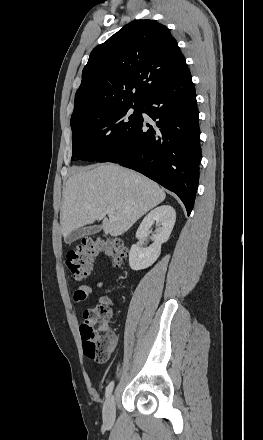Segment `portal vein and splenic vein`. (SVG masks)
<instances>
[{"label":"portal vein and splenic vein","instance_id":"18ae733b","mask_svg":"<svg viewBox=\"0 0 263 440\" xmlns=\"http://www.w3.org/2000/svg\"><path fill=\"white\" fill-rule=\"evenodd\" d=\"M114 209H115L114 206H108L107 207V213L108 214L112 213L114 211Z\"/></svg>","mask_w":263,"mask_h":440}]
</instances>
